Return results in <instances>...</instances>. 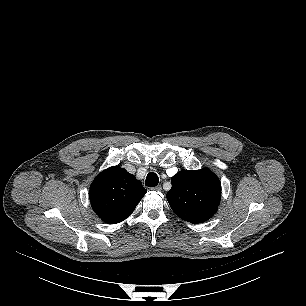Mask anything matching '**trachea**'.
I'll return each instance as SVG.
<instances>
[{
  "instance_id": "1",
  "label": "trachea",
  "mask_w": 306,
  "mask_h": 306,
  "mask_svg": "<svg viewBox=\"0 0 306 306\" xmlns=\"http://www.w3.org/2000/svg\"><path fill=\"white\" fill-rule=\"evenodd\" d=\"M159 182L158 175L154 172L148 173L146 180H145V185L148 187H155L157 186Z\"/></svg>"
}]
</instances>
